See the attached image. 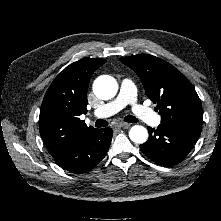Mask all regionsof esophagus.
<instances>
[{
	"mask_svg": "<svg viewBox=\"0 0 221 221\" xmlns=\"http://www.w3.org/2000/svg\"><path fill=\"white\" fill-rule=\"evenodd\" d=\"M130 125H131L130 123H126V122H119L117 124L118 127H124V128L130 127Z\"/></svg>",
	"mask_w": 221,
	"mask_h": 221,
	"instance_id": "obj_1",
	"label": "esophagus"
}]
</instances>
